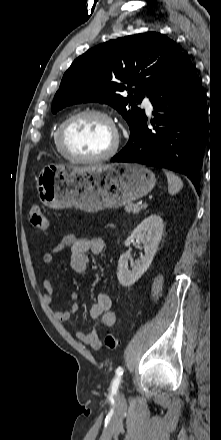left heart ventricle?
<instances>
[{
    "label": "left heart ventricle",
    "mask_w": 221,
    "mask_h": 440,
    "mask_svg": "<svg viewBox=\"0 0 221 440\" xmlns=\"http://www.w3.org/2000/svg\"><path fill=\"white\" fill-rule=\"evenodd\" d=\"M114 132L103 118L85 116L75 120L66 132L65 143L68 150L83 157L98 156L113 144Z\"/></svg>",
    "instance_id": "1"
}]
</instances>
